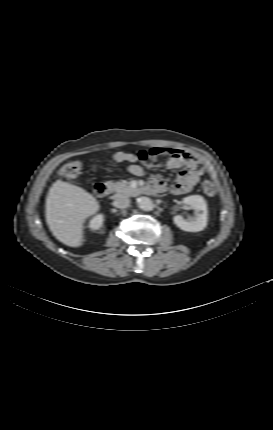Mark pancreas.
<instances>
[{
	"label": "pancreas",
	"instance_id": "cf45deb5",
	"mask_svg": "<svg viewBox=\"0 0 273 430\" xmlns=\"http://www.w3.org/2000/svg\"><path fill=\"white\" fill-rule=\"evenodd\" d=\"M111 186L113 192L115 193V199L128 198L133 196L138 190L132 188L127 182L119 181V182H108Z\"/></svg>",
	"mask_w": 273,
	"mask_h": 430
}]
</instances>
